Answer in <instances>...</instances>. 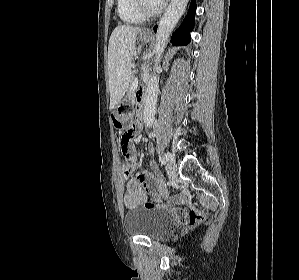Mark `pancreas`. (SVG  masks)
I'll return each instance as SVG.
<instances>
[{"label":"pancreas","mask_w":299,"mask_h":280,"mask_svg":"<svg viewBox=\"0 0 299 280\" xmlns=\"http://www.w3.org/2000/svg\"><path fill=\"white\" fill-rule=\"evenodd\" d=\"M133 80H134V77H133V76H131V79H130V84H129V88H128V93H129V95H131V94H132L131 85H132V83H133Z\"/></svg>","instance_id":"pancreas-1"}]
</instances>
